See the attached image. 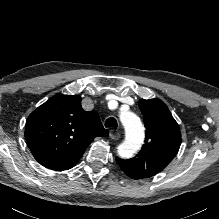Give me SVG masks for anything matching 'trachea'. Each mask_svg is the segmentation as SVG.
<instances>
[{
    "mask_svg": "<svg viewBox=\"0 0 219 219\" xmlns=\"http://www.w3.org/2000/svg\"><path fill=\"white\" fill-rule=\"evenodd\" d=\"M105 127H112L114 129L117 128V121L115 118L110 117L105 121Z\"/></svg>",
    "mask_w": 219,
    "mask_h": 219,
    "instance_id": "trachea-1",
    "label": "trachea"
}]
</instances>
